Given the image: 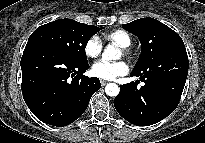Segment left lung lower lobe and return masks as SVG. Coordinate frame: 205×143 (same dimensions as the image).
Returning a JSON list of instances; mask_svg holds the SVG:
<instances>
[{
  "instance_id": "left-lung-lower-lobe-1",
  "label": "left lung lower lobe",
  "mask_w": 205,
  "mask_h": 143,
  "mask_svg": "<svg viewBox=\"0 0 205 143\" xmlns=\"http://www.w3.org/2000/svg\"><path fill=\"white\" fill-rule=\"evenodd\" d=\"M188 75V56L185 46L166 51L149 69L132 72L144 82L140 89L134 82L120 86L114 99L118 113L137 126L155 124L177 107Z\"/></svg>"
}]
</instances>
